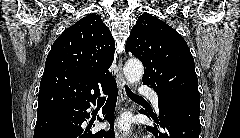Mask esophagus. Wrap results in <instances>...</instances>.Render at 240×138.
Here are the masks:
<instances>
[{"label": "esophagus", "instance_id": "1", "mask_svg": "<svg viewBox=\"0 0 240 138\" xmlns=\"http://www.w3.org/2000/svg\"><path fill=\"white\" fill-rule=\"evenodd\" d=\"M117 84H118V90H119L118 105H119L120 111H122V110H124L123 103L127 100L126 80L123 75L122 58H120L119 63H118ZM115 133H116L117 138H125V135L119 131L117 124H116V132Z\"/></svg>", "mask_w": 240, "mask_h": 138}]
</instances>
